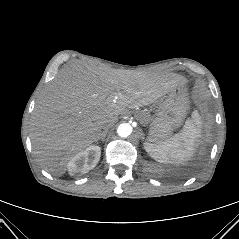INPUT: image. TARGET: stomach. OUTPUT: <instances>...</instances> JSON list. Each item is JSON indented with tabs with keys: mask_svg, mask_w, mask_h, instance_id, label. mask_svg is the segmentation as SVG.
Listing matches in <instances>:
<instances>
[{
	"mask_svg": "<svg viewBox=\"0 0 239 239\" xmlns=\"http://www.w3.org/2000/svg\"><path fill=\"white\" fill-rule=\"evenodd\" d=\"M187 86L171 91L166 99L158 103L157 110L142 123L149 124L148 141L158 143L168 139L180 127L187 114Z\"/></svg>",
	"mask_w": 239,
	"mask_h": 239,
	"instance_id": "1",
	"label": "stomach"
}]
</instances>
